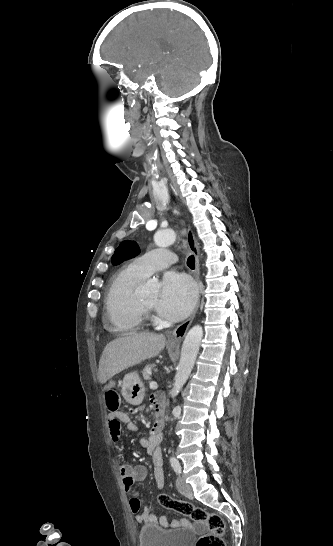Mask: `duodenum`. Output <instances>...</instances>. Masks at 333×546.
<instances>
[{"label": "duodenum", "mask_w": 333, "mask_h": 546, "mask_svg": "<svg viewBox=\"0 0 333 546\" xmlns=\"http://www.w3.org/2000/svg\"><path fill=\"white\" fill-rule=\"evenodd\" d=\"M164 427L163 417L161 415L156 416V421L153 426L152 433L155 437L161 438Z\"/></svg>", "instance_id": "duodenum-1"}]
</instances>
